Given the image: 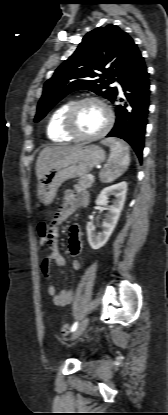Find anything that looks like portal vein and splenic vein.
Returning a JSON list of instances; mask_svg holds the SVG:
<instances>
[{"mask_svg": "<svg viewBox=\"0 0 168 415\" xmlns=\"http://www.w3.org/2000/svg\"><path fill=\"white\" fill-rule=\"evenodd\" d=\"M88 179L93 180V179H94V176H93V175H91V174H89V175H88Z\"/></svg>", "mask_w": 168, "mask_h": 415, "instance_id": "obj_1", "label": "portal vein and splenic vein"}]
</instances>
